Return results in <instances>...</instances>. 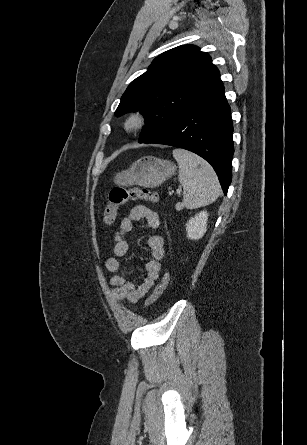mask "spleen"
<instances>
[{"mask_svg":"<svg viewBox=\"0 0 307 445\" xmlns=\"http://www.w3.org/2000/svg\"><path fill=\"white\" fill-rule=\"evenodd\" d=\"M173 156L179 166V182L183 186V206L200 208L211 204L220 194V182L211 164L184 148H175Z\"/></svg>","mask_w":307,"mask_h":445,"instance_id":"obj_1","label":"spleen"}]
</instances>
